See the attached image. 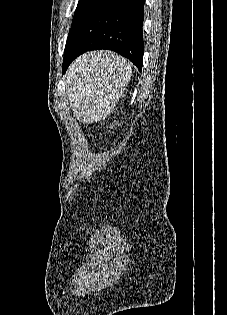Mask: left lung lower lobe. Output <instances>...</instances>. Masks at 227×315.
I'll list each match as a JSON object with an SVG mask.
<instances>
[{
  "label": "left lung lower lobe",
  "instance_id": "1",
  "mask_svg": "<svg viewBox=\"0 0 227 315\" xmlns=\"http://www.w3.org/2000/svg\"><path fill=\"white\" fill-rule=\"evenodd\" d=\"M144 3L145 0H98L68 36L63 74L79 55L98 49L119 53L141 71Z\"/></svg>",
  "mask_w": 227,
  "mask_h": 315
}]
</instances>
